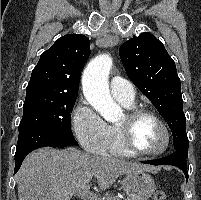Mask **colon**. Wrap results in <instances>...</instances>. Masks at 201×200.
<instances>
[{
  "label": "colon",
  "mask_w": 201,
  "mask_h": 200,
  "mask_svg": "<svg viewBox=\"0 0 201 200\" xmlns=\"http://www.w3.org/2000/svg\"><path fill=\"white\" fill-rule=\"evenodd\" d=\"M153 200H167V194L164 191H156Z\"/></svg>",
  "instance_id": "5ec220e1"
}]
</instances>
